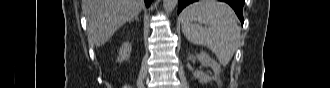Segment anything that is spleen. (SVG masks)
I'll use <instances>...</instances> for the list:
<instances>
[{"label":"spleen","instance_id":"1","mask_svg":"<svg viewBox=\"0 0 330 88\" xmlns=\"http://www.w3.org/2000/svg\"><path fill=\"white\" fill-rule=\"evenodd\" d=\"M181 26L188 41L210 49L223 66L238 47L240 30L236 15L224 2L200 0L189 5L181 13Z\"/></svg>","mask_w":330,"mask_h":88}]
</instances>
